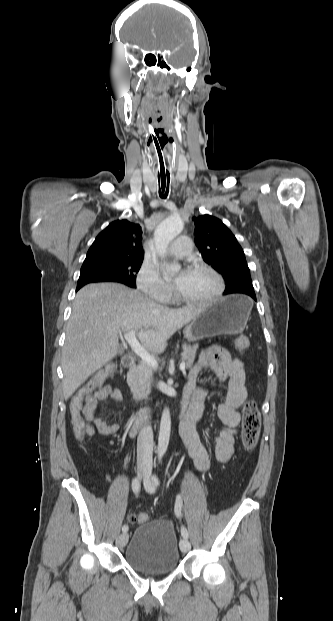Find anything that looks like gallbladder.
<instances>
[{
	"mask_svg": "<svg viewBox=\"0 0 333 621\" xmlns=\"http://www.w3.org/2000/svg\"><path fill=\"white\" fill-rule=\"evenodd\" d=\"M121 350H122V348H121V347H119V351H121Z\"/></svg>",
	"mask_w": 333,
	"mask_h": 621,
	"instance_id": "1",
	"label": "gallbladder"
}]
</instances>
